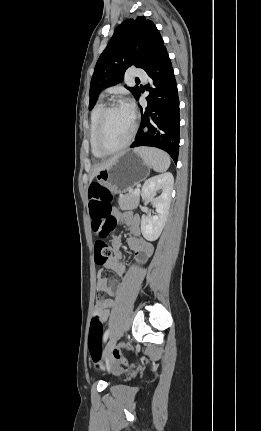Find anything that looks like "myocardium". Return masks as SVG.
I'll return each mask as SVG.
<instances>
[{"instance_id":"obj_1","label":"myocardium","mask_w":261,"mask_h":431,"mask_svg":"<svg viewBox=\"0 0 261 431\" xmlns=\"http://www.w3.org/2000/svg\"><path fill=\"white\" fill-rule=\"evenodd\" d=\"M119 105H124V104L120 101H113V102L109 103L108 105H106L102 109L100 116H99V120H98V124H97V128H96L95 142H96V147H97L98 151L105 156L116 154V153L124 150L125 148H127L131 144V142H132V140L136 134V131H137V116H136L135 112L132 111V119H133L132 129H131V132H130L128 138L126 139V141L122 145H120L119 147L114 148V149H108L103 145L102 133H103V128H104L105 118H106L107 114L112 109H114L115 107H117Z\"/></svg>"}]
</instances>
